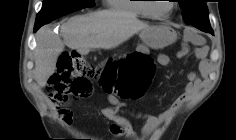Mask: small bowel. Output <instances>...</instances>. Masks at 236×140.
<instances>
[{
    "mask_svg": "<svg viewBox=\"0 0 236 140\" xmlns=\"http://www.w3.org/2000/svg\"><path fill=\"white\" fill-rule=\"evenodd\" d=\"M188 40L195 38V34L188 30ZM196 58L200 61L201 76L195 72H190L187 77V82L183 86L179 96L161 113L153 115L149 113H137L135 116L143 121L141 128V138L144 140H152L156 132L164 125L170 123L176 112L190 99L192 95L197 93L203 86V78L206 76L205 54L202 49L195 51ZM156 62L161 66H166L170 63L169 56L160 54L156 57ZM60 119L67 125L72 123L73 113L68 107H63L58 110ZM102 115L109 121L110 133L113 137L123 136L126 140H139L138 135L134 131L132 122L125 116L119 114L117 106H108L102 110Z\"/></svg>",
    "mask_w": 236,
    "mask_h": 140,
    "instance_id": "1",
    "label": "small bowel"
}]
</instances>
